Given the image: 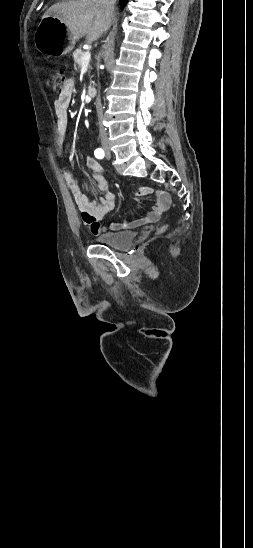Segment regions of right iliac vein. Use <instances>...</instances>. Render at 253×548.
Segmentation results:
<instances>
[{"label":"right iliac vein","mask_w":253,"mask_h":548,"mask_svg":"<svg viewBox=\"0 0 253 548\" xmlns=\"http://www.w3.org/2000/svg\"><path fill=\"white\" fill-rule=\"evenodd\" d=\"M103 147H104V149H105V150H109V146H108V144H104V146H103Z\"/></svg>","instance_id":"1"}]
</instances>
